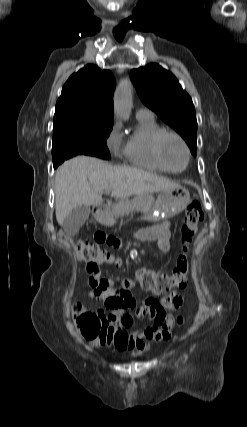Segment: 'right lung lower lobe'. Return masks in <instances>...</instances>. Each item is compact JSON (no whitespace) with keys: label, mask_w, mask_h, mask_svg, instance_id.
<instances>
[{"label":"right lung lower lobe","mask_w":247,"mask_h":427,"mask_svg":"<svg viewBox=\"0 0 247 427\" xmlns=\"http://www.w3.org/2000/svg\"><path fill=\"white\" fill-rule=\"evenodd\" d=\"M65 159H60L58 161H53L54 168H57L59 164H61Z\"/></svg>","instance_id":"1"}]
</instances>
